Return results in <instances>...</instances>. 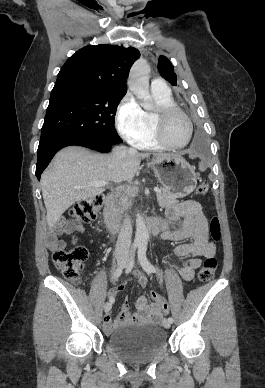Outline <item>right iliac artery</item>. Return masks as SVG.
<instances>
[{"label": "right iliac artery", "instance_id": "1", "mask_svg": "<svg viewBox=\"0 0 265 388\" xmlns=\"http://www.w3.org/2000/svg\"><path fill=\"white\" fill-rule=\"evenodd\" d=\"M136 245H134L132 247V250H131V262L133 261V258H134V252H135V249H136ZM122 271H123V267L119 266L115 271H114V274H113V277L115 279H117L118 277H120V275L122 274ZM110 302H113L112 299H110Z\"/></svg>", "mask_w": 265, "mask_h": 388}]
</instances>
